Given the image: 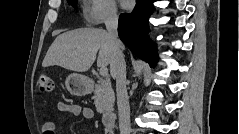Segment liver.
Segmentation results:
<instances>
[{
  "label": "liver",
  "mask_w": 239,
  "mask_h": 134,
  "mask_svg": "<svg viewBox=\"0 0 239 134\" xmlns=\"http://www.w3.org/2000/svg\"><path fill=\"white\" fill-rule=\"evenodd\" d=\"M98 51L97 65H110L114 50L108 32L101 28H79L57 36L42 66L57 65L71 71L86 72L95 62Z\"/></svg>",
  "instance_id": "liver-1"
}]
</instances>
